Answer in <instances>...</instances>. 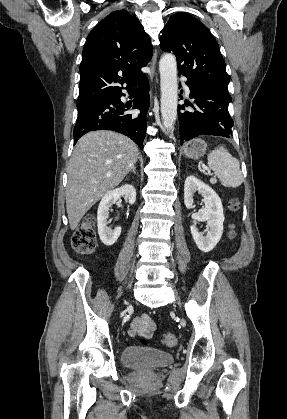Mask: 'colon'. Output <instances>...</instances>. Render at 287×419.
Instances as JSON below:
<instances>
[{
  "label": "colon",
  "instance_id": "colon-1",
  "mask_svg": "<svg viewBox=\"0 0 287 419\" xmlns=\"http://www.w3.org/2000/svg\"><path fill=\"white\" fill-rule=\"evenodd\" d=\"M231 210L238 208L237 200L233 199L229 203ZM72 245L75 252L79 255L91 253L96 247V234L94 231V216L88 215L85 220L78 226L73 238ZM162 343L166 347H175L178 343L177 335L174 333H166L162 336ZM141 343L146 345L147 339L142 338Z\"/></svg>",
  "mask_w": 287,
  "mask_h": 419
}]
</instances>
